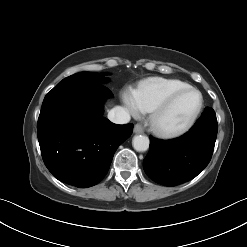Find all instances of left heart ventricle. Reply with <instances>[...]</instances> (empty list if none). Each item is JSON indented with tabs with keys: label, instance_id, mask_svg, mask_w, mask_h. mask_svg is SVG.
I'll return each instance as SVG.
<instances>
[{
	"label": "left heart ventricle",
	"instance_id": "obj_1",
	"mask_svg": "<svg viewBox=\"0 0 247 247\" xmlns=\"http://www.w3.org/2000/svg\"><path fill=\"white\" fill-rule=\"evenodd\" d=\"M199 104V95L189 92L179 97L163 114L160 124L164 128L174 129L183 125L194 113Z\"/></svg>",
	"mask_w": 247,
	"mask_h": 247
}]
</instances>
